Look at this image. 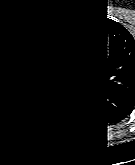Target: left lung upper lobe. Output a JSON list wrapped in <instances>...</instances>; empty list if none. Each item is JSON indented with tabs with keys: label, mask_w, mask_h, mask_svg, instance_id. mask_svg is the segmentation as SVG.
Returning a JSON list of instances; mask_svg holds the SVG:
<instances>
[{
	"label": "left lung upper lobe",
	"mask_w": 135,
	"mask_h": 165,
	"mask_svg": "<svg viewBox=\"0 0 135 165\" xmlns=\"http://www.w3.org/2000/svg\"><path fill=\"white\" fill-rule=\"evenodd\" d=\"M106 41L103 64L93 77L104 89L124 95L135 103V40L120 23L106 17H98Z\"/></svg>",
	"instance_id": "obj_1"
}]
</instances>
